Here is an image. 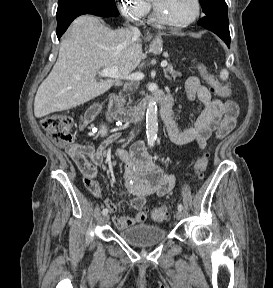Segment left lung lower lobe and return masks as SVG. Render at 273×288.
Segmentation results:
<instances>
[{
  "label": "left lung lower lobe",
  "instance_id": "left-lung-lower-lobe-1",
  "mask_svg": "<svg viewBox=\"0 0 273 288\" xmlns=\"http://www.w3.org/2000/svg\"><path fill=\"white\" fill-rule=\"evenodd\" d=\"M198 25L217 34L225 43L230 46V33L228 13H218L212 16H204L199 20Z\"/></svg>",
  "mask_w": 273,
  "mask_h": 288
}]
</instances>
